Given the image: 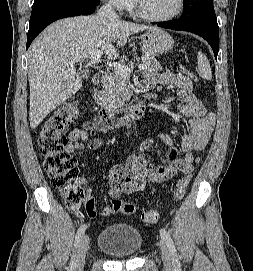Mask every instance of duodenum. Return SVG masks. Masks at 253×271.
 <instances>
[{
	"label": "duodenum",
	"mask_w": 253,
	"mask_h": 271,
	"mask_svg": "<svg viewBox=\"0 0 253 271\" xmlns=\"http://www.w3.org/2000/svg\"><path fill=\"white\" fill-rule=\"evenodd\" d=\"M105 72L99 71L93 75L92 83L100 86L104 83ZM99 119L109 128H117L123 124L144 115L147 111L145 101L121 108H109L105 106L97 107Z\"/></svg>",
	"instance_id": "obj_1"
}]
</instances>
